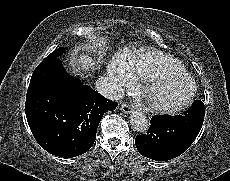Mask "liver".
<instances>
[{
	"instance_id": "liver-1",
	"label": "liver",
	"mask_w": 230,
	"mask_h": 181,
	"mask_svg": "<svg viewBox=\"0 0 230 181\" xmlns=\"http://www.w3.org/2000/svg\"><path fill=\"white\" fill-rule=\"evenodd\" d=\"M94 64L95 63L89 55L76 53L75 56L70 59L69 72L73 74H82L93 67Z\"/></svg>"
}]
</instances>
